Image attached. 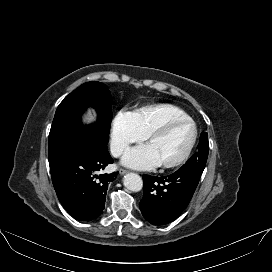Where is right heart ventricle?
<instances>
[{"instance_id": "e07e8e85", "label": "right heart ventricle", "mask_w": 272, "mask_h": 272, "mask_svg": "<svg viewBox=\"0 0 272 272\" xmlns=\"http://www.w3.org/2000/svg\"><path fill=\"white\" fill-rule=\"evenodd\" d=\"M133 116L138 130L144 136L169 120L189 117L183 109L168 103L143 106L134 111Z\"/></svg>"}]
</instances>
